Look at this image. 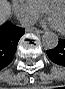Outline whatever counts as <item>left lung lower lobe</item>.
<instances>
[{"mask_svg": "<svg viewBox=\"0 0 65 89\" xmlns=\"http://www.w3.org/2000/svg\"><path fill=\"white\" fill-rule=\"evenodd\" d=\"M47 55L52 62L65 67V38L60 39L54 49L48 50Z\"/></svg>", "mask_w": 65, "mask_h": 89, "instance_id": "1", "label": "left lung lower lobe"}]
</instances>
